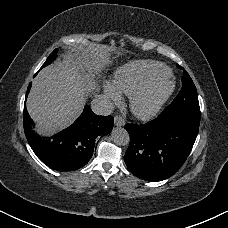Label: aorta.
I'll return each mask as SVG.
<instances>
[{"label": "aorta", "instance_id": "762f6f07", "mask_svg": "<svg viewBox=\"0 0 228 228\" xmlns=\"http://www.w3.org/2000/svg\"><path fill=\"white\" fill-rule=\"evenodd\" d=\"M111 137L114 143L119 146H126L129 144V134L124 128H114Z\"/></svg>", "mask_w": 228, "mask_h": 228}]
</instances>
